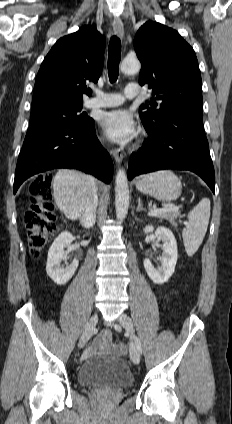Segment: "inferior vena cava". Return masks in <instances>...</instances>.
<instances>
[{"label": "inferior vena cava", "mask_w": 232, "mask_h": 424, "mask_svg": "<svg viewBox=\"0 0 232 424\" xmlns=\"http://www.w3.org/2000/svg\"><path fill=\"white\" fill-rule=\"evenodd\" d=\"M93 184H95V179L91 178ZM98 205V197L96 193V188L93 186L89 191L88 198L85 206L83 207L80 213V223L87 229L91 228L96 222V208Z\"/></svg>", "instance_id": "obj_1"}]
</instances>
